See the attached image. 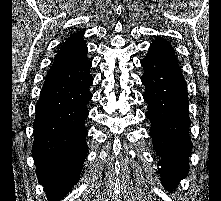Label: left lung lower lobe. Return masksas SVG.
<instances>
[{"label": "left lung lower lobe", "instance_id": "1", "mask_svg": "<svg viewBox=\"0 0 221 201\" xmlns=\"http://www.w3.org/2000/svg\"><path fill=\"white\" fill-rule=\"evenodd\" d=\"M141 66L143 95L149 109L150 136L159 160L161 181L173 190L188 173L192 142L189 136L187 84L180 66L147 55Z\"/></svg>", "mask_w": 221, "mask_h": 201}]
</instances>
